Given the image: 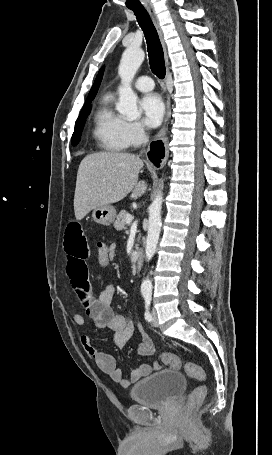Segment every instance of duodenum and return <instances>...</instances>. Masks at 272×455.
<instances>
[{"instance_id": "410a0bca", "label": "duodenum", "mask_w": 272, "mask_h": 455, "mask_svg": "<svg viewBox=\"0 0 272 455\" xmlns=\"http://www.w3.org/2000/svg\"><path fill=\"white\" fill-rule=\"evenodd\" d=\"M136 265H137V268L138 269H141L142 265H143V260H144V254H143V251L141 249H137L136 250Z\"/></svg>"}]
</instances>
